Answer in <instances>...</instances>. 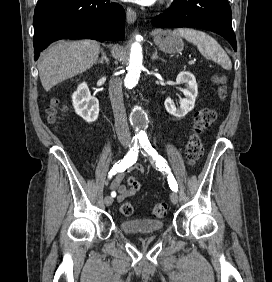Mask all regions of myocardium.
I'll list each match as a JSON object with an SVG mask.
<instances>
[{"mask_svg":"<svg viewBox=\"0 0 272 282\" xmlns=\"http://www.w3.org/2000/svg\"><path fill=\"white\" fill-rule=\"evenodd\" d=\"M173 0H160V3L162 4V5H165V4H167V3H169V2H172Z\"/></svg>","mask_w":272,"mask_h":282,"instance_id":"f54148a6","label":"myocardium"}]
</instances>
